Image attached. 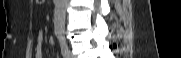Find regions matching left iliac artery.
I'll list each match as a JSON object with an SVG mask.
<instances>
[{
    "mask_svg": "<svg viewBox=\"0 0 181 58\" xmlns=\"http://www.w3.org/2000/svg\"><path fill=\"white\" fill-rule=\"evenodd\" d=\"M58 38H59V42H60L62 55H63V57L68 58L70 51L68 49L64 34L60 33L58 35Z\"/></svg>",
    "mask_w": 181,
    "mask_h": 58,
    "instance_id": "1",
    "label": "left iliac artery"
}]
</instances>
